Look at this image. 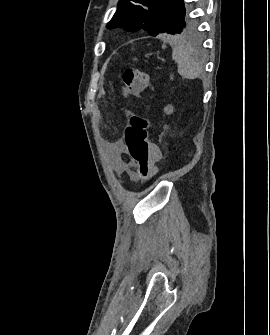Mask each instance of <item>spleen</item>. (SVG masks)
<instances>
[{
    "label": "spleen",
    "instance_id": "1",
    "mask_svg": "<svg viewBox=\"0 0 270 335\" xmlns=\"http://www.w3.org/2000/svg\"><path fill=\"white\" fill-rule=\"evenodd\" d=\"M172 46V58L178 64V74L187 78V80H195L202 72L199 64L191 58L188 52V46L182 36H173L170 40Z\"/></svg>",
    "mask_w": 270,
    "mask_h": 335
}]
</instances>
